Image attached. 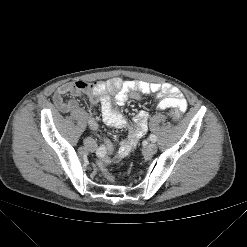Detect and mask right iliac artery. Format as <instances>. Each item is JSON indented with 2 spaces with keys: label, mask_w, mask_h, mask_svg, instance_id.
<instances>
[{
  "label": "right iliac artery",
  "mask_w": 247,
  "mask_h": 247,
  "mask_svg": "<svg viewBox=\"0 0 247 247\" xmlns=\"http://www.w3.org/2000/svg\"><path fill=\"white\" fill-rule=\"evenodd\" d=\"M96 155L98 158L103 159L106 157L107 155V149L104 146H99L96 149Z\"/></svg>",
  "instance_id": "right-iliac-artery-1"
}]
</instances>
